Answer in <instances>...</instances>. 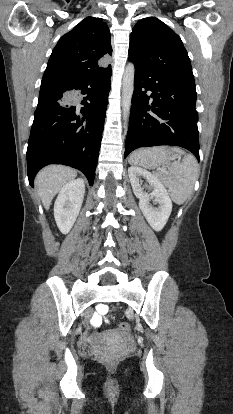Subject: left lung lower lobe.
Wrapping results in <instances>:
<instances>
[{
    "instance_id": "1",
    "label": "left lung lower lobe",
    "mask_w": 233,
    "mask_h": 414,
    "mask_svg": "<svg viewBox=\"0 0 233 414\" xmlns=\"http://www.w3.org/2000/svg\"><path fill=\"white\" fill-rule=\"evenodd\" d=\"M134 84L124 157L140 147L174 145L199 160L194 81L162 78L135 66Z\"/></svg>"
}]
</instances>
